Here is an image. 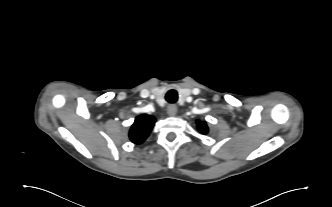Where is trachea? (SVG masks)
<instances>
[{"instance_id":"obj_1","label":"trachea","mask_w":332,"mask_h":207,"mask_svg":"<svg viewBox=\"0 0 332 207\" xmlns=\"http://www.w3.org/2000/svg\"><path fill=\"white\" fill-rule=\"evenodd\" d=\"M165 98H166L167 102L175 103L178 99L177 92L175 90H170L167 92Z\"/></svg>"}]
</instances>
